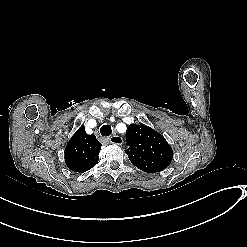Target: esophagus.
<instances>
[{
  "label": "esophagus",
  "mask_w": 247,
  "mask_h": 247,
  "mask_svg": "<svg viewBox=\"0 0 247 247\" xmlns=\"http://www.w3.org/2000/svg\"><path fill=\"white\" fill-rule=\"evenodd\" d=\"M109 141L110 143L116 144V145H121L123 143L122 137L117 136V135L110 137Z\"/></svg>",
  "instance_id": "obj_1"
}]
</instances>
